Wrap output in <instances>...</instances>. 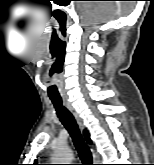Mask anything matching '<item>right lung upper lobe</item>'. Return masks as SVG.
<instances>
[{
	"label": "right lung upper lobe",
	"instance_id": "right-lung-upper-lobe-1",
	"mask_svg": "<svg viewBox=\"0 0 154 165\" xmlns=\"http://www.w3.org/2000/svg\"><path fill=\"white\" fill-rule=\"evenodd\" d=\"M84 136H85L86 141L88 143H91L90 138H89V134H88V132L86 130H84Z\"/></svg>",
	"mask_w": 154,
	"mask_h": 165
}]
</instances>
